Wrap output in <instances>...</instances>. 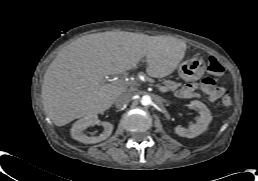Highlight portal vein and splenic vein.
<instances>
[{
  "label": "portal vein and splenic vein",
  "mask_w": 258,
  "mask_h": 181,
  "mask_svg": "<svg viewBox=\"0 0 258 181\" xmlns=\"http://www.w3.org/2000/svg\"><path fill=\"white\" fill-rule=\"evenodd\" d=\"M115 84H122L120 81H115ZM157 88L161 91V92H167L166 88L164 86H157Z\"/></svg>",
  "instance_id": "18ae733b"
}]
</instances>
